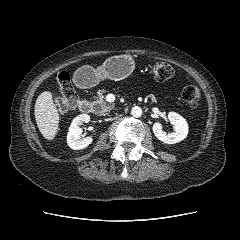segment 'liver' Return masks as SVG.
Returning a JSON list of instances; mask_svg holds the SVG:
<instances>
[{
	"instance_id": "6515ba94",
	"label": "liver",
	"mask_w": 240,
	"mask_h": 240,
	"mask_svg": "<svg viewBox=\"0 0 240 240\" xmlns=\"http://www.w3.org/2000/svg\"><path fill=\"white\" fill-rule=\"evenodd\" d=\"M34 115L39 131L47 140H53L59 126V113L49 91L42 92L35 103Z\"/></svg>"
}]
</instances>
